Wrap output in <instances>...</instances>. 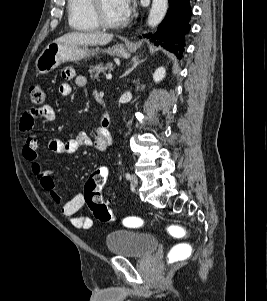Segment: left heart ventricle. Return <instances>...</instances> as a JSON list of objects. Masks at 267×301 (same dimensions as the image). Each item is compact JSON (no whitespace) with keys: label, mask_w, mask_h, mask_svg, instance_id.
<instances>
[{"label":"left heart ventricle","mask_w":267,"mask_h":301,"mask_svg":"<svg viewBox=\"0 0 267 301\" xmlns=\"http://www.w3.org/2000/svg\"><path fill=\"white\" fill-rule=\"evenodd\" d=\"M102 11L104 17L110 22H117L125 18L117 0H102Z\"/></svg>","instance_id":"1"}]
</instances>
